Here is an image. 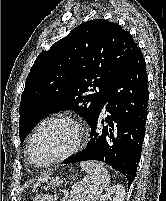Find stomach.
<instances>
[{
    "label": "stomach",
    "instance_id": "obj_1",
    "mask_svg": "<svg viewBox=\"0 0 166 201\" xmlns=\"http://www.w3.org/2000/svg\"><path fill=\"white\" fill-rule=\"evenodd\" d=\"M60 185V181L59 178H54L51 180V182L49 183V187L51 188H56L57 186Z\"/></svg>",
    "mask_w": 166,
    "mask_h": 201
}]
</instances>
